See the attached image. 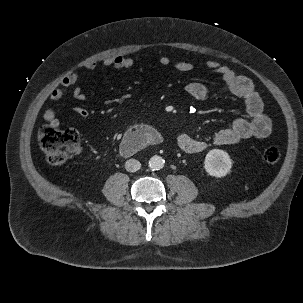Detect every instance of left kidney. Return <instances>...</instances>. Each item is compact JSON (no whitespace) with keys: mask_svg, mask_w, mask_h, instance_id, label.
<instances>
[{"mask_svg":"<svg viewBox=\"0 0 303 303\" xmlns=\"http://www.w3.org/2000/svg\"><path fill=\"white\" fill-rule=\"evenodd\" d=\"M232 167V161L227 152L220 149L210 150L204 161L206 172L214 177L221 178L226 176Z\"/></svg>","mask_w":303,"mask_h":303,"instance_id":"obj_1","label":"left kidney"}]
</instances>
